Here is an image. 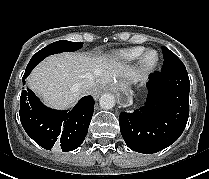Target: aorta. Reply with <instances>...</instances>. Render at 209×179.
I'll use <instances>...</instances> for the list:
<instances>
[{
	"label": "aorta",
	"mask_w": 209,
	"mask_h": 179,
	"mask_svg": "<svg viewBox=\"0 0 209 179\" xmlns=\"http://www.w3.org/2000/svg\"><path fill=\"white\" fill-rule=\"evenodd\" d=\"M101 108L108 110L115 106V98L111 93H104L99 99Z\"/></svg>",
	"instance_id": "1"
}]
</instances>
